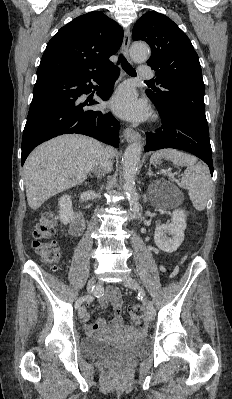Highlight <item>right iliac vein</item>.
<instances>
[{
	"mask_svg": "<svg viewBox=\"0 0 232 399\" xmlns=\"http://www.w3.org/2000/svg\"><path fill=\"white\" fill-rule=\"evenodd\" d=\"M94 284H95V279L91 278L88 281L87 290H90ZM88 294H91V291H88ZM78 318L79 319H84L85 318V309L84 308H79L78 309Z\"/></svg>",
	"mask_w": 232,
	"mask_h": 399,
	"instance_id": "1",
	"label": "right iliac vein"
}]
</instances>
